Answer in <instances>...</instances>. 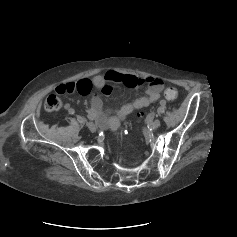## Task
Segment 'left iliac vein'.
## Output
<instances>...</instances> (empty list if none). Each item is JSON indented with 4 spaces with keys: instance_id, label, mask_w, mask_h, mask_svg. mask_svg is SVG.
I'll return each mask as SVG.
<instances>
[{
    "instance_id": "obj_1",
    "label": "left iliac vein",
    "mask_w": 237,
    "mask_h": 237,
    "mask_svg": "<svg viewBox=\"0 0 237 237\" xmlns=\"http://www.w3.org/2000/svg\"><path fill=\"white\" fill-rule=\"evenodd\" d=\"M160 124H161V122H160V120H155V121H153L152 123H151V129H157L159 126H160Z\"/></svg>"
}]
</instances>
